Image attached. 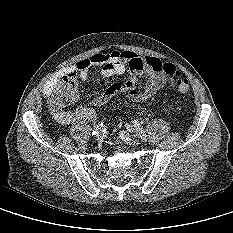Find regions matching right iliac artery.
Instances as JSON below:
<instances>
[{
    "label": "right iliac artery",
    "instance_id": "obj_1",
    "mask_svg": "<svg viewBox=\"0 0 233 233\" xmlns=\"http://www.w3.org/2000/svg\"><path fill=\"white\" fill-rule=\"evenodd\" d=\"M103 127H104V123H103V122H99V123L95 126V128H94V130H93V132H92V136L97 135L98 132H99Z\"/></svg>",
    "mask_w": 233,
    "mask_h": 233
}]
</instances>
